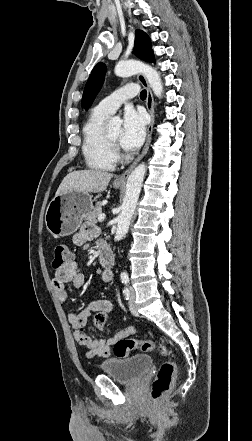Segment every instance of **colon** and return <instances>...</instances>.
Returning <instances> with one entry per match:
<instances>
[{"instance_id": "obj_1", "label": "colon", "mask_w": 252, "mask_h": 441, "mask_svg": "<svg viewBox=\"0 0 252 441\" xmlns=\"http://www.w3.org/2000/svg\"><path fill=\"white\" fill-rule=\"evenodd\" d=\"M72 261V253L66 245H57L54 250L52 266L59 269ZM113 306L107 304L102 310L94 313L92 327L103 329L109 320ZM143 352H153L157 350L162 356L169 358L170 353L164 346H158L151 340H137L134 338H124L114 345V354L117 357H127L134 350ZM177 364L174 360L168 359L159 368L152 384L151 396L154 402L162 401L171 391L174 383Z\"/></svg>"}]
</instances>
